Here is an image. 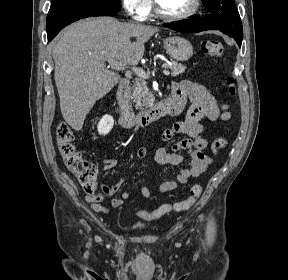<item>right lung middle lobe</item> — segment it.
Listing matches in <instances>:
<instances>
[{
    "label": "right lung middle lobe",
    "instance_id": "obj_1",
    "mask_svg": "<svg viewBox=\"0 0 288 280\" xmlns=\"http://www.w3.org/2000/svg\"><path fill=\"white\" fill-rule=\"evenodd\" d=\"M72 1H76V0H52L50 9L56 6H59L61 4L72 2ZM93 1L105 4L115 10L120 11V8H121V0H93Z\"/></svg>",
    "mask_w": 288,
    "mask_h": 280
}]
</instances>
